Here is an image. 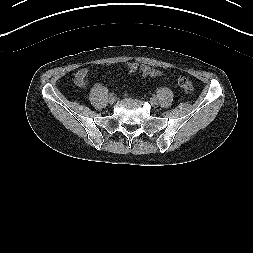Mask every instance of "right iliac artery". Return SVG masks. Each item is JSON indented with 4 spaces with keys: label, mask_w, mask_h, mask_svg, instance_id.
I'll list each match as a JSON object with an SVG mask.
<instances>
[{
    "label": "right iliac artery",
    "mask_w": 253,
    "mask_h": 253,
    "mask_svg": "<svg viewBox=\"0 0 253 253\" xmlns=\"http://www.w3.org/2000/svg\"><path fill=\"white\" fill-rule=\"evenodd\" d=\"M109 95H110V96H113V95H114V93H113V92H111V93H109Z\"/></svg>",
    "instance_id": "obj_1"
}]
</instances>
